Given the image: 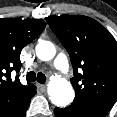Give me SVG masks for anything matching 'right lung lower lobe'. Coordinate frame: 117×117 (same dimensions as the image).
Wrapping results in <instances>:
<instances>
[{"label":"right lung lower lobe","mask_w":117,"mask_h":117,"mask_svg":"<svg viewBox=\"0 0 117 117\" xmlns=\"http://www.w3.org/2000/svg\"><path fill=\"white\" fill-rule=\"evenodd\" d=\"M36 94V88L33 91L32 95L29 96L13 113L6 117H25L26 110L30 104L31 98Z\"/></svg>","instance_id":"right-lung-lower-lobe-1"}]
</instances>
